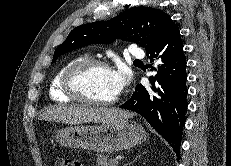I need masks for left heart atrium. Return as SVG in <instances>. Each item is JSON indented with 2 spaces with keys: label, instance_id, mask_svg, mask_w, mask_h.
I'll list each match as a JSON object with an SVG mask.
<instances>
[{
  "label": "left heart atrium",
  "instance_id": "1",
  "mask_svg": "<svg viewBox=\"0 0 231 166\" xmlns=\"http://www.w3.org/2000/svg\"><path fill=\"white\" fill-rule=\"evenodd\" d=\"M112 72V79L114 88L117 94L121 93L123 89L128 85L130 76L126 69L119 68L117 70H111Z\"/></svg>",
  "mask_w": 231,
  "mask_h": 166
}]
</instances>
